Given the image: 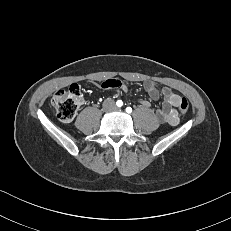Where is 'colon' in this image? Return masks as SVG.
I'll use <instances>...</instances> for the list:
<instances>
[{"mask_svg":"<svg viewBox=\"0 0 231 231\" xmlns=\"http://www.w3.org/2000/svg\"><path fill=\"white\" fill-rule=\"evenodd\" d=\"M84 102L83 90L79 84H72L69 88L57 91L52 97V105L60 121L71 122ZM179 110L186 113L189 102L181 98Z\"/></svg>","mask_w":231,"mask_h":231,"instance_id":"obj_1","label":"colon"}]
</instances>
